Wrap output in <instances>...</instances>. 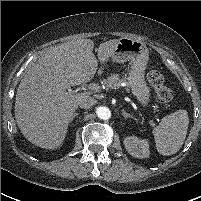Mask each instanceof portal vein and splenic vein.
<instances>
[{"label":"portal vein and splenic vein","instance_id":"1","mask_svg":"<svg viewBox=\"0 0 201 201\" xmlns=\"http://www.w3.org/2000/svg\"><path fill=\"white\" fill-rule=\"evenodd\" d=\"M91 90V91H98L99 86L97 84H90L85 90ZM69 92H74L71 89H68Z\"/></svg>","mask_w":201,"mask_h":201}]
</instances>
